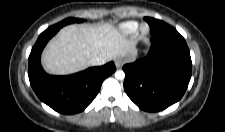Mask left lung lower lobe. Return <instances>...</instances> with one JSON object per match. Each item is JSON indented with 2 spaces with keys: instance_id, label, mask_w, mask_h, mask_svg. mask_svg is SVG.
Listing matches in <instances>:
<instances>
[{
  "instance_id": "1",
  "label": "left lung lower lobe",
  "mask_w": 225,
  "mask_h": 132,
  "mask_svg": "<svg viewBox=\"0 0 225 132\" xmlns=\"http://www.w3.org/2000/svg\"><path fill=\"white\" fill-rule=\"evenodd\" d=\"M151 27L163 21L145 18ZM148 56L123 66L124 90L142 110L156 112L179 101L190 78L192 62L186 41L176 30L153 35Z\"/></svg>"
}]
</instances>
